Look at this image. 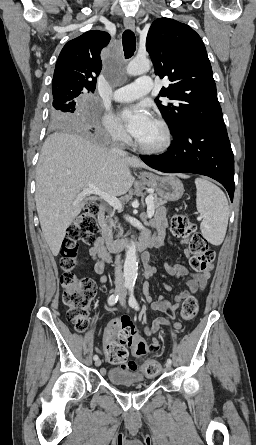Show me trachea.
Returning a JSON list of instances; mask_svg holds the SVG:
<instances>
[{"label": "trachea", "mask_w": 256, "mask_h": 445, "mask_svg": "<svg viewBox=\"0 0 256 445\" xmlns=\"http://www.w3.org/2000/svg\"><path fill=\"white\" fill-rule=\"evenodd\" d=\"M122 43L125 58L128 59L132 57L136 50V37L131 30L124 31V33L122 34Z\"/></svg>", "instance_id": "1"}]
</instances>
